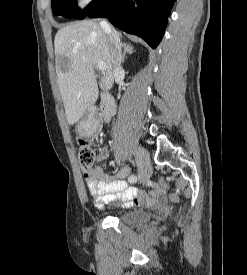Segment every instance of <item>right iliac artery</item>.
<instances>
[{"instance_id": "right-iliac-artery-1", "label": "right iliac artery", "mask_w": 247, "mask_h": 275, "mask_svg": "<svg viewBox=\"0 0 247 275\" xmlns=\"http://www.w3.org/2000/svg\"><path fill=\"white\" fill-rule=\"evenodd\" d=\"M128 181L130 183H135L137 181V176L136 175L129 176Z\"/></svg>"}]
</instances>
